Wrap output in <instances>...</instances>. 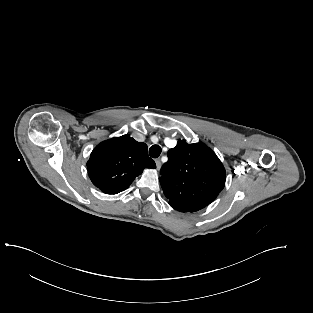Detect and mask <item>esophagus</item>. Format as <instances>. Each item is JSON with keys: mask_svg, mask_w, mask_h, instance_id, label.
Wrapping results in <instances>:
<instances>
[{"mask_svg": "<svg viewBox=\"0 0 313 313\" xmlns=\"http://www.w3.org/2000/svg\"><path fill=\"white\" fill-rule=\"evenodd\" d=\"M155 163H156L157 169L159 170L161 168V161H160V159H156Z\"/></svg>", "mask_w": 313, "mask_h": 313, "instance_id": "obj_1", "label": "esophagus"}]
</instances>
